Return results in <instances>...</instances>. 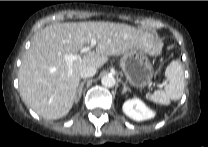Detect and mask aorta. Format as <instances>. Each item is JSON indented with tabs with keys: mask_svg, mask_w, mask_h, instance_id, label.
<instances>
[{
	"mask_svg": "<svg viewBox=\"0 0 208 147\" xmlns=\"http://www.w3.org/2000/svg\"><path fill=\"white\" fill-rule=\"evenodd\" d=\"M101 83L105 87H113L116 83V80L112 75H105L102 77Z\"/></svg>",
	"mask_w": 208,
	"mask_h": 147,
	"instance_id": "aorta-1",
	"label": "aorta"
}]
</instances>
